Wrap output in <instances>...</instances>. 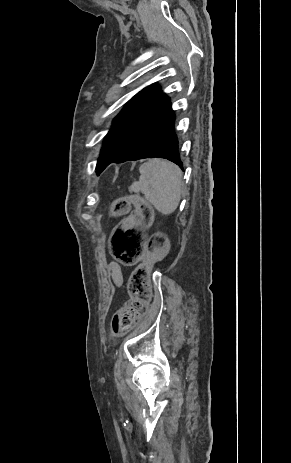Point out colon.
<instances>
[{
    "mask_svg": "<svg viewBox=\"0 0 291 463\" xmlns=\"http://www.w3.org/2000/svg\"><path fill=\"white\" fill-rule=\"evenodd\" d=\"M130 205L132 213L112 230L109 240L111 256L122 265H134L141 262L133 273L129 292L130 300L113 316L111 330L114 335L125 333L134 321L140 317L145 309L149 297L148 261L164 253L167 249V240L163 233H153L146 239L139 230L140 227L150 225L153 218L151 206L139 196L118 198L112 209L120 214L128 210Z\"/></svg>",
    "mask_w": 291,
    "mask_h": 463,
    "instance_id": "1",
    "label": "colon"
}]
</instances>
